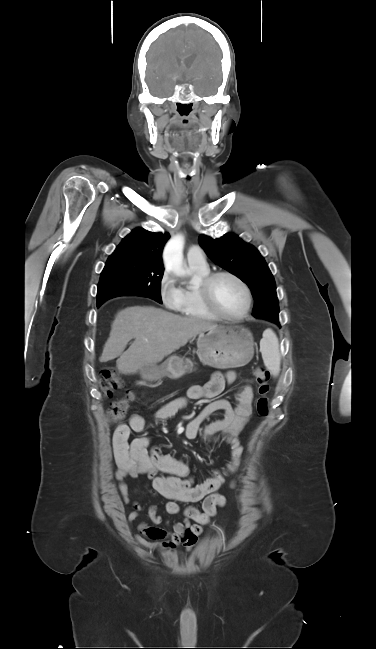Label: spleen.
I'll list each match as a JSON object with an SVG mask.
<instances>
[{"label": "spleen", "instance_id": "spleen-1", "mask_svg": "<svg viewBox=\"0 0 376 649\" xmlns=\"http://www.w3.org/2000/svg\"><path fill=\"white\" fill-rule=\"evenodd\" d=\"M260 352L266 368L274 375L280 373L281 357L279 353V341L272 330H266L260 341Z\"/></svg>", "mask_w": 376, "mask_h": 649}]
</instances>
